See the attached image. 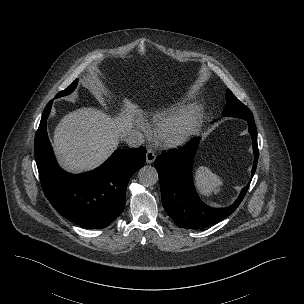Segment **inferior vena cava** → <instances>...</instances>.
Segmentation results:
<instances>
[{
  "label": "inferior vena cava",
  "instance_id": "inferior-vena-cava-1",
  "mask_svg": "<svg viewBox=\"0 0 304 304\" xmlns=\"http://www.w3.org/2000/svg\"><path fill=\"white\" fill-rule=\"evenodd\" d=\"M125 141L130 147L136 148L144 143V136L137 130H131L127 133Z\"/></svg>",
  "mask_w": 304,
  "mask_h": 304
}]
</instances>
